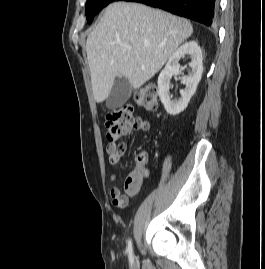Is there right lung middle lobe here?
<instances>
[{"instance_id":"right-lung-middle-lobe-1","label":"right lung middle lobe","mask_w":265,"mask_h":269,"mask_svg":"<svg viewBox=\"0 0 265 269\" xmlns=\"http://www.w3.org/2000/svg\"><path fill=\"white\" fill-rule=\"evenodd\" d=\"M116 0H87L85 5V14L88 23H91L94 16L106 7L109 3L114 2Z\"/></svg>"}]
</instances>
